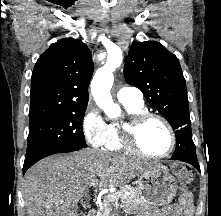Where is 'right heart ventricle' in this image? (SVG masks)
<instances>
[{"label": "right heart ventricle", "instance_id": "right-heart-ventricle-1", "mask_svg": "<svg viewBox=\"0 0 221 216\" xmlns=\"http://www.w3.org/2000/svg\"><path fill=\"white\" fill-rule=\"evenodd\" d=\"M127 116L147 111L144 102H122ZM121 121H112L107 124V135L103 147L109 151H124L126 148L120 134Z\"/></svg>", "mask_w": 221, "mask_h": 216}]
</instances>
